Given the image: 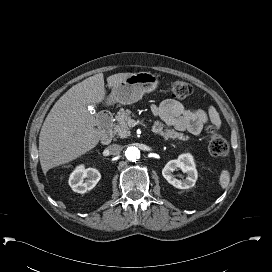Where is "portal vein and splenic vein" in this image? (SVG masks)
<instances>
[{
    "mask_svg": "<svg viewBox=\"0 0 272 272\" xmlns=\"http://www.w3.org/2000/svg\"><path fill=\"white\" fill-rule=\"evenodd\" d=\"M128 124H130V125H132V126H133V124H134V120L130 119V120H129V122H128Z\"/></svg>",
    "mask_w": 272,
    "mask_h": 272,
    "instance_id": "1",
    "label": "portal vein and splenic vein"
}]
</instances>
